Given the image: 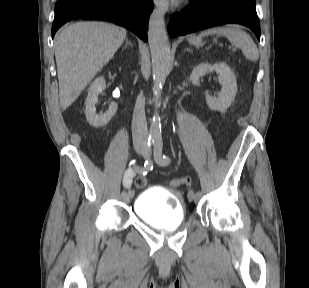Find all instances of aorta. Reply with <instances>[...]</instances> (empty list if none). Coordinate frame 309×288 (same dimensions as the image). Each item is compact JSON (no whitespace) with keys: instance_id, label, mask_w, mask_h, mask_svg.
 I'll return each mask as SVG.
<instances>
[{"instance_id":"obj_1","label":"aorta","mask_w":309,"mask_h":288,"mask_svg":"<svg viewBox=\"0 0 309 288\" xmlns=\"http://www.w3.org/2000/svg\"><path fill=\"white\" fill-rule=\"evenodd\" d=\"M167 8L168 3L166 0H163L160 6L156 7L151 13L148 24V42L151 50L154 92L156 96L160 95L170 63V44L164 21ZM158 107L159 103L156 102V108ZM149 133L152 139H159L161 137L157 112H155L151 122Z\"/></svg>"}]
</instances>
